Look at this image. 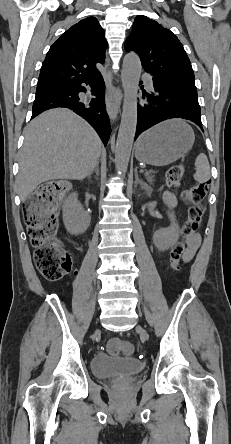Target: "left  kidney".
Here are the masks:
<instances>
[{
  "label": "left kidney",
  "mask_w": 231,
  "mask_h": 444,
  "mask_svg": "<svg viewBox=\"0 0 231 444\" xmlns=\"http://www.w3.org/2000/svg\"><path fill=\"white\" fill-rule=\"evenodd\" d=\"M171 220V225L168 228H163L156 231L153 235V242L155 246L161 250H168L171 246L175 245L179 239L180 228L176 223L175 215L173 212H168Z\"/></svg>",
  "instance_id": "5707ae66"
}]
</instances>
